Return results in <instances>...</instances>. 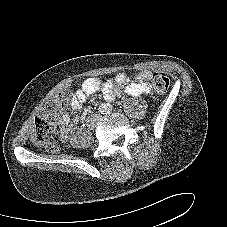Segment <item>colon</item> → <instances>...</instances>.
Masks as SVG:
<instances>
[{"label":"colon","mask_w":227,"mask_h":227,"mask_svg":"<svg viewBox=\"0 0 227 227\" xmlns=\"http://www.w3.org/2000/svg\"><path fill=\"white\" fill-rule=\"evenodd\" d=\"M152 87L157 93H165L170 86V80L161 73H154L151 78ZM69 100L68 92L45 99L41 106V114L34 119V128L31 133L32 142L49 152H57L58 145L54 140V129L49 118L60 108L64 107Z\"/></svg>","instance_id":"5ec220e1"}]
</instances>
